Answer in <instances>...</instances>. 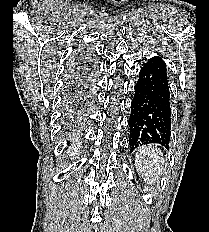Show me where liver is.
Instances as JSON below:
<instances>
[{"label": "liver", "instance_id": "liver-1", "mask_svg": "<svg viewBox=\"0 0 209 232\" xmlns=\"http://www.w3.org/2000/svg\"><path fill=\"white\" fill-rule=\"evenodd\" d=\"M80 147V143L73 144L69 147L68 154L70 155L71 159L77 158L78 148Z\"/></svg>", "mask_w": 209, "mask_h": 232}]
</instances>
